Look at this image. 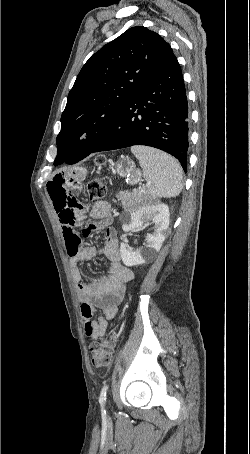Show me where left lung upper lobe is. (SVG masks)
Here are the masks:
<instances>
[{
	"instance_id": "1",
	"label": "left lung upper lobe",
	"mask_w": 250,
	"mask_h": 454,
	"mask_svg": "<svg viewBox=\"0 0 250 454\" xmlns=\"http://www.w3.org/2000/svg\"><path fill=\"white\" fill-rule=\"evenodd\" d=\"M172 55L170 45L143 26L128 29L93 54L69 92L55 161L88 156L128 101Z\"/></svg>"
}]
</instances>
